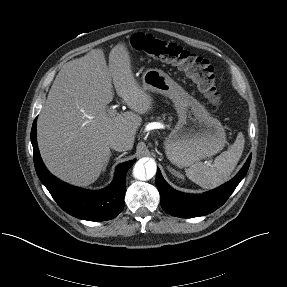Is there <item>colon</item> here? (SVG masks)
I'll return each instance as SVG.
<instances>
[{
    "label": "colon",
    "mask_w": 287,
    "mask_h": 287,
    "mask_svg": "<svg viewBox=\"0 0 287 287\" xmlns=\"http://www.w3.org/2000/svg\"><path fill=\"white\" fill-rule=\"evenodd\" d=\"M129 46L153 58L176 65L196 84L211 104L220 102L214 68L207 59L187 51L176 43L163 41L151 34H134L130 38Z\"/></svg>",
    "instance_id": "obj_1"
}]
</instances>
